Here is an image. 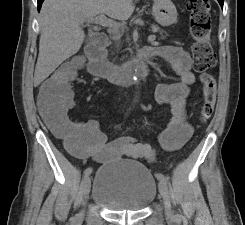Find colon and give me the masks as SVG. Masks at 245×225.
<instances>
[{
	"label": "colon",
	"mask_w": 245,
	"mask_h": 225,
	"mask_svg": "<svg viewBox=\"0 0 245 225\" xmlns=\"http://www.w3.org/2000/svg\"><path fill=\"white\" fill-rule=\"evenodd\" d=\"M210 11L211 5L208 0H189L190 32L194 39L192 53L195 69L201 75L203 91V104L199 114L202 122H207L212 118L216 101V82L208 73L217 62L210 42L212 30ZM71 79L69 70L62 69L55 72L41 85V92L52 101L54 107H59L61 101L69 95ZM56 128L65 146L69 149L73 148L76 129L68 125H56Z\"/></svg>",
	"instance_id": "obj_1"
}]
</instances>
